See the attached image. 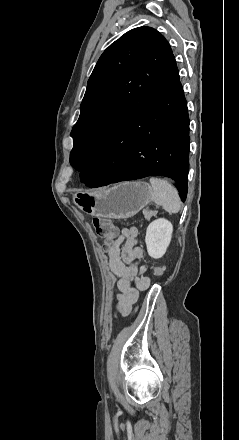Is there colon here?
I'll return each mask as SVG.
<instances>
[{"label":"colon","mask_w":239,"mask_h":440,"mask_svg":"<svg viewBox=\"0 0 239 440\" xmlns=\"http://www.w3.org/2000/svg\"><path fill=\"white\" fill-rule=\"evenodd\" d=\"M93 225L97 234L105 240L107 245H110L116 231L112 221L108 218L96 217L93 219ZM153 273L155 276H160L164 273V268L162 266H157L154 268Z\"/></svg>","instance_id":"colon-1"}]
</instances>
